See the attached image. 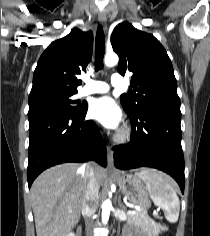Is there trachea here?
<instances>
[{
    "instance_id": "3493384b",
    "label": "trachea",
    "mask_w": 210,
    "mask_h": 236,
    "mask_svg": "<svg viewBox=\"0 0 210 236\" xmlns=\"http://www.w3.org/2000/svg\"><path fill=\"white\" fill-rule=\"evenodd\" d=\"M105 53V36L102 26L97 29L95 39V71H99L103 68V58Z\"/></svg>"
}]
</instances>
